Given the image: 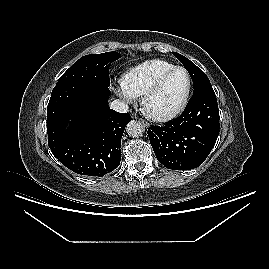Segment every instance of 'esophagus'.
Wrapping results in <instances>:
<instances>
[{"label": "esophagus", "mask_w": 269, "mask_h": 269, "mask_svg": "<svg viewBox=\"0 0 269 269\" xmlns=\"http://www.w3.org/2000/svg\"><path fill=\"white\" fill-rule=\"evenodd\" d=\"M139 120L141 121V123H143L145 127H149V124L145 120L143 119H139Z\"/></svg>", "instance_id": "1"}]
</instances>
